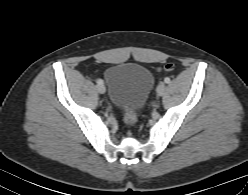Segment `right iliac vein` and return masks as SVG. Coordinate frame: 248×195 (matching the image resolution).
Here are the masks:
<instances>
[{"label":"right iliac vein","mask_w":248,"mask_h":195,"mask_svg":"<svg viewBox=\"0 0 248 195\" xmlns=\"http://www.w3.org/2000/svg\"><path fill=\"white\" fill-rule=\"evenodd\" d=\"M96 89H97V91H98L100 94H104V93H105V87H104L103 84H98V85L96 86Z\"/></svg>","instance_id":"right-iliac-vein-1"}]
</instances>
